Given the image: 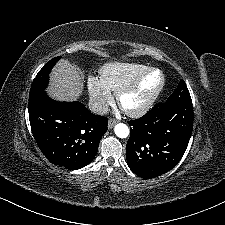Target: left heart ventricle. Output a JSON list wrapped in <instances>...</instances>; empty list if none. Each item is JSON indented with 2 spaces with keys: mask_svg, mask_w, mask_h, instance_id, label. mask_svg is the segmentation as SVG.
<instances>
[{
  "mask_svg": "<svg viewBox=\"0 0 225 225\" xmlns=\"http://www.w3.org/2000/svg\"><path fill=\"white\" fill-rule=\"evenodd\" d=\"M159 83L158 74L152 73L144 80L140 90L134 94L126 97L123 104L128 109H134L140 106L144 100L154 91Z\"/></svg>",
  "mask_w": 225,
  "mask_h": 225,
  "instance_id": "b2bd125f",
  "label": "left heart ventricle"
}]
</instances>
